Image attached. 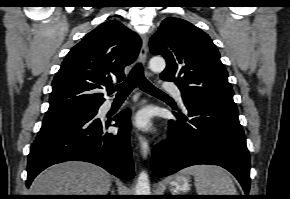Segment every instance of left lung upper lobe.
Segmentation results:
<instances>
[{
	"label": "left lung upper lobe",
	"mask_w": 290,
	"mask_h": 199,
	"mask_svg": "<svg viewBox=\"0 0 290 199\" xmlns=\"http://www.w3.org/2000/svg\"><path fill=\"white\" fill-rule=\"evenodd\" d=\"M150 51L164 56L167 66L161 79L175 81L184 101L237 111L226 68L205 32L186 20L166 18L150 39Z\"/></svg>",
	"instance_id": "1"
}]
</instances>
